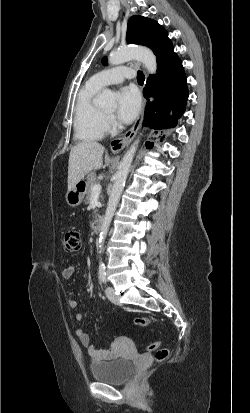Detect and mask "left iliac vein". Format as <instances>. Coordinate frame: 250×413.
<instances>
[{
	"mask_svg": "<svg viewBox=\"0 0 250 413\" xmlns=\"http://www.w3.org/2000/svg\"><path fill=\"white\" fill-rule=\"evenodd\" d=\"M106 296L108 297V299H109L113 304H115V305H119V304H120L119 299H118V297L116 296L113 287L108 286V287L106 288Z\"/></svg>",
	"mask_w": 250,
	"mask_h": 413,
	"instance_id": "obj_1",
	"label": "left iliac vein"
}]
</instances>
